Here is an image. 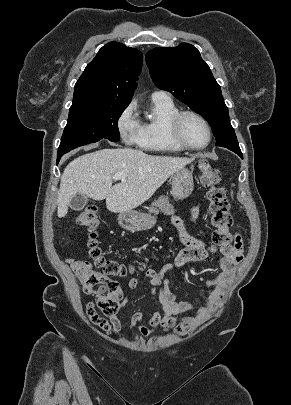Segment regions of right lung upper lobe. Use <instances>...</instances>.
Masks as SVG:
<instances>
[{"instance_id":"right-lung-upper-lobe-1","label":"right lung upper lobe","mask_w":291,"mask_h":405,"mask_svg":"<svg viewBox=\"0 0 291 405\" xmlns=\"http://www.w3.org/2000/svg\"><path fill=\"white\" fill-rule=\"evenodd\" d=\"M142 59L139 50L122 43L104 45L76 82L72 105L103 102L129 105Z\"/></svg>"}]
</instances>
